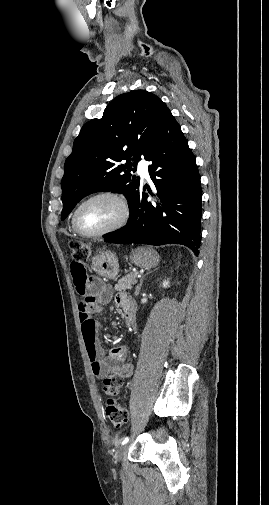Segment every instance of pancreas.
Instances as JSON below:
<instances>
[{
  "instance_id": "obj_1",
  "label": "pancreas",
  "mask_w": 269,
  "mask_h": 505,
  "mask_svg": "<svg viewBox=\"0 0 269 505\" xmlns=\"http://www.w3.org/2000/svg\"><path fill=\"white\" fill-rule=\"evenodd\" d=\"M136 277L137 273L131 272L130 274H127L118 281V283L115 285V290L124 291L131 289L133 284L136 283Z\"/></svg>"
}]
</instances>
